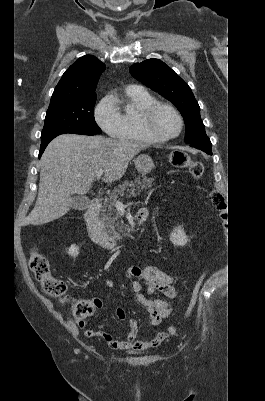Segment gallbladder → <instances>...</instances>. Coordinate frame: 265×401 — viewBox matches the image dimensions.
<instances>
[{
  "instance_id": "gallbladder-1",
  "label": "gallbladder",
  "mask_w": 265,
  "mask_h": 401,
  "mask_svg": "<svg viewBox=\"0 0 265 401\" xmlns=\"http://www.w3.org/2000/svg\"><path fill=\"white\" fill-rule=\"evenodd\" d=\"M72 198L71 209H75V211H85L90 205V198H87V196H72Z\"/></svg>"
}]
</instances>
